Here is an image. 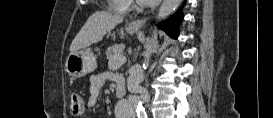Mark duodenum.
<instances>
[{
    "mask_svg": "<svg viewBox=\"0 0 273 118\" xmlns=\"http://www.w3.org/2000/svg\"><path fill=\"white\" fill-rule=\"evenodd\" d=\"M115 89H116V94L118 97L124 96L127 90L124 79L123 80L117 79L115 81Z\"/></svg>",
    "mask_w": 273,
    "mask_h": 118,
    "instance_id": "410a0bca",
    "label": "duodenum"
}]
</instances>
